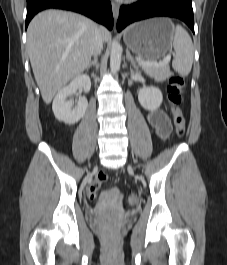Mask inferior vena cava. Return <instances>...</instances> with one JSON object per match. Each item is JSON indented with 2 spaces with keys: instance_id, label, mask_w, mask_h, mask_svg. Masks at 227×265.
I'll return each instance as SVG.
<instances>
[{
  "instance_id": "602c4592",
  "label": "inferior vena cava",
  "mask_w": 227,
  "mask_h": 265,
  "mask_svg": "<svg viewBox=\"0 0 227 265\" xmlns=\"http://www.w3.org/2000/svg\"><path fill=\"white\" fill-rule=\"evenodd\" d=\"M103 39L99 33V28L95 25V29L92 35V46H93V54L98 56L102 50Z\"/></svg>"
}]
</instances>
